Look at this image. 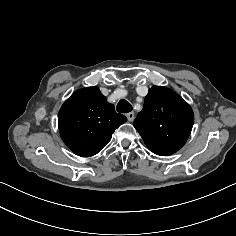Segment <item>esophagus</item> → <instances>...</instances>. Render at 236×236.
<instances>
[{"label": "esophagus", "instance_id": "1", "mask_svg": "<svg viewBox=\"0 0 236 236\" xmlns=\"http://www.w3.org/2000/svg\"><path fill=\"white\" fill-rule=\"evenodd\" d=\"M126 117H127L128 121L132 122L134 120V117H135L134 112L127 113Z\"/></svg>", "mask_w": 236, "mask_h": 236}]
</instances>
